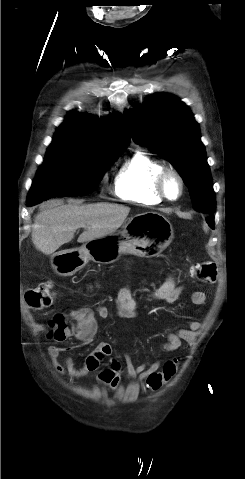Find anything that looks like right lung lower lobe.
<instances>
[{
	"label": "right lung lower lobe",
	"mask_w": 245,
	"mask_h": 479,
	"mask_svg": "<svg viewBox=\"0 0 245 479\" xmlns=\"http://www.w3.org/2000/svg\"><path fill=\"white\" fill-rule=\"evenodd\" d=\"M27 205L30 207V206H33V205H35V204H33V203H27Z\"/></svg>",
	"instance_id": "right-lung-lower-lobe-1"
}]
</instances>
